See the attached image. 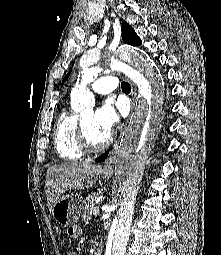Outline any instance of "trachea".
<instances>
[{"instance_id":"obj_1","label":"trachea","mask_w":221,"mask_h":255,"mask_svg":"<svg viewBox=\"0 0 221 255\" xmlns=\"http://www.w3.org/2000/svg\"><path fill=\"white\" fill-rule=\"evenodd\" d=\"M121 88L123 90V92H130L131 91V87H130V84L128 82H122L121 83Z\"/></svg>"}]
</instances>
